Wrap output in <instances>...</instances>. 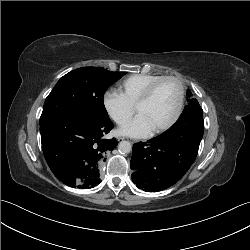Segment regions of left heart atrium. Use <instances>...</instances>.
Wrapping results in <instances>:
<instances>
[{"label":"left heart atrium","mask_w":250,"mask_h":250,"mask_svg":"<svg viewBox=\"0 0 250 250\" xmlns=\"http://www.w3.org/2000/svg\"><path fill=\"white\" fill-rule=\"evenodd\" d=\"M151 132V127L141 114H137L133 119L121 126L118 130L119 134L133 138L146 137L150 135Z\"/></svg>","instance_id":"left-heart-atrium-1"}]
</instances>
